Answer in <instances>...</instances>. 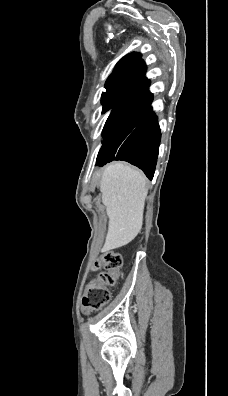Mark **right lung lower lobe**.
<instances>
[{"mask_svg": "<svg viewBox=\"0 0 228 396\" xmlns=\"http://www.w3.org/2000/svg\"><path fill=\"white\" fill-rule=\"evenodd\" d=\"M150 82L145 79L129 108L117 120L99 151L97 165L123 160L139 167L151 180L161 140L157 117L152 107Z\"/></svg>", "mask_w": 228, "mask_h": 396, "instance_id": "obj_1", "label": "right lung lower lobe"}]
</instances>
